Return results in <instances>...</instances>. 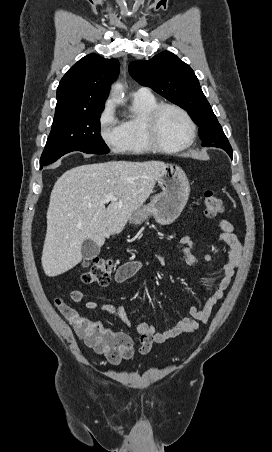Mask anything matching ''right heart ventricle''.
<instances>
[{
  "label": "right heart ventricle",
  "mask_w": 272,
  "mask_h": 452,
  "mask_svg": "<svg viewBox=\"0 0 272 452\" xmlns=\"http://www.w3.org/2000/svg\"><path fill=\"white\" fill-rule=\"evenodd\" d=\"M152 94H134L131 114L121 123L124 142L122 151L130 154H143L153 149L145 136L146 117L158 105Z\"/></svg>",
  "instance_id": "obj_1"
}]
</instances>
